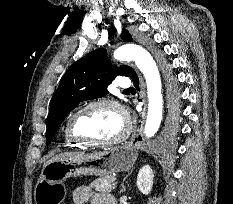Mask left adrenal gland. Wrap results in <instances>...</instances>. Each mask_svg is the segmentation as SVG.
Instances as JSON below:
<instances>
[{"instance_id":"left-adrenal-gland-1","label":"left adrenal gland","mask_w":233,"mask_h":204,"mask_svg":"<svg viewBox=\"0 0 233 204\" xmlns=\"http://www.w3.org/2000/svg\"><path fill=\"white\" fill-rule=\"evenodd\" d=\"M132 173V171L123 179V181H122V184H121V190L119 191V194H121V193H123V192H125L126 191V188H125V186H124V181L126 180V178L130 175Z\"/></svg>"}]
</instances>
